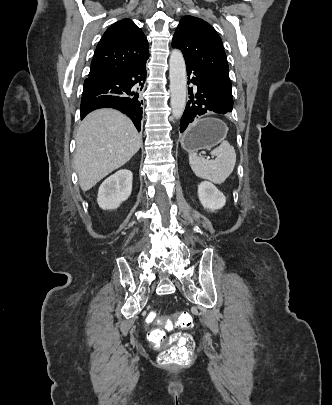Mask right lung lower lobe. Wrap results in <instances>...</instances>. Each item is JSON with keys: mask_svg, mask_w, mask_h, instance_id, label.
<instances>
[{"mask_svg": "<svg viewBox=\"0 0 332 405\" xmlns=\"http://www.w3.org/2000/svg\"><path fill=\"white\" fill-rule=\"evenodd\" d=\"M146 80V61L127 70L89 76L84 81L81 119L98 108H114L126 114L141 130L142 104L139 91Z\"/></svg>", "mask_w": 332, "mask_h": 405, "instance_id": "right-lung-lower-lobe-1", "label": "right lung lower lobe"}]
</instances>
